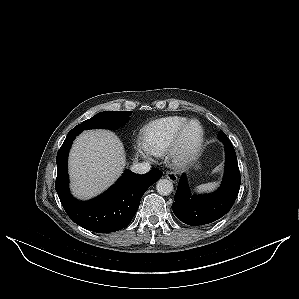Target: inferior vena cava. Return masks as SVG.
<instances>
[{
  "instance_id": "1",
  "label": "inferior vena cava",
  "mask_w": 299,
  "mask_h": 299,
  "mask_svg": "<svg viewBox=\"0 0 299 299\" xmlns=\"http://www.w3.org/2000/svg\"><path fill=\"white\" fill-rule=\"evenodd\" d=\"M150 169H151V165L148 162L135 163L131 167V171L136 174H145L149 172Z\"/></svg>"
}]
</instances>
